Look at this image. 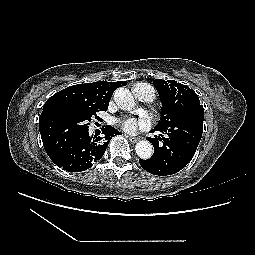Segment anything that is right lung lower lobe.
Listing matches in <instances>:
<instances>
[{"mask_svg":"<svg viewBox=\"0 0 255 255\" xmlns=\"http://www.w3.org/2000/svg\"><path fill=\"white\" fill-rule=\"evenodd\" d=\"M40 133L48 156L57 166L69 172L89 169L104 155L111 137L120 134L109 125L102 129V136H90L86 130L66 142H61L44 129H40Z\"/></svg>","mask_w":255,"mask_h":255,"instance_id":"obj_1","label":"right lung lower lobe"}]
</instances>
